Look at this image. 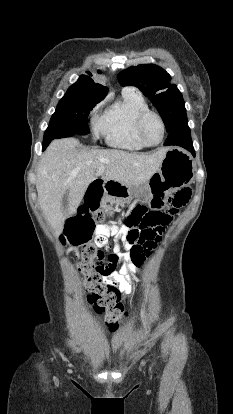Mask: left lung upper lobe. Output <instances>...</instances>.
<instances>
[{"label":"left lung upper lobe","mask_w":233,"mask_h":414,"mask_svg":"<svg viewBox=\"0 0 233 414\" xmlns=\"http://www.w3.org/2000/svg\"><path fill=\"white\" fill-rule=\"evenodd\" d=\"M118 80L122 86H136L151 99L168 132L186 115L181 92L176 85L170 83V75L161 67L154 64L130 67L118 75Z\"/></svg>","instance_id":"5c2ea615"}]
</instances>
